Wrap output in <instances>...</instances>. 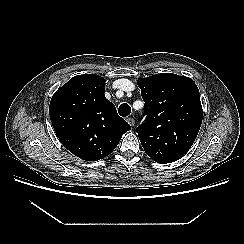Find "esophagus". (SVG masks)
Returning <instances> with one entry per match:
<instances>
[{
  "mask_svg": "<svg viewBox=\"0 0 244 244\" xmlns=\"http://www.w3.org/2000/svg\"><path fill=\"white\" fill-rule=\"evenodd\" d=\"M127 122L129 123L130 126H134V124H135V120L132 117H128Z\"/></svg>",
  "mask_w": 244,
  "mask_h": 244,
  "instance_id": "1",
  "label": "esophagus"
}]
</instances>
